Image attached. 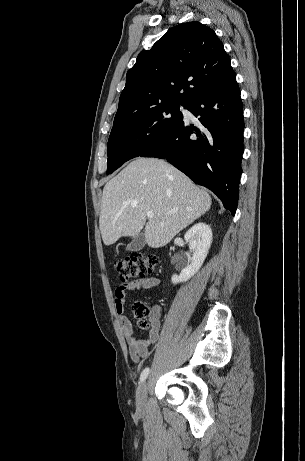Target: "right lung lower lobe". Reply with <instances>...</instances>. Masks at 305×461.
I'll return each mask as SVG.
<instances>
[{
    "mask_svg": "<svg viewBox=\"0 0 305 461\" xmlns=\"http://www.w3.org/2000/svg\"><path fill=\"white\" fill-rule=\"evenodd\" d=\"M187 109L197 125L182 122L141 157L165 158L195 183L213 191L235 215L243 154V105L233 73L196 96Z\"/></svg>",
    "mask_w": 305,
    "mask_h": 461,
    "instance_id": "right-lung-lower-lobe-1",
    "label": "right lung lower lobe"
}]
</instances>
